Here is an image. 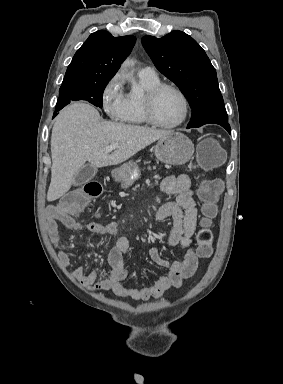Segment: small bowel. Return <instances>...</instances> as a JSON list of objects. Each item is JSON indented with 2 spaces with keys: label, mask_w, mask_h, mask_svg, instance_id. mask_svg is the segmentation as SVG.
Segmentation results:
<instances>
[{
  "label": "small bowel",
  "mask_w": 283,
  "mask_h": 384,
  "mask_svg": "<svg viewBox=\"0 0 283 384\" xmlns=\"http://www.w3.org/2000/svg\"><path fill=\"white\" fill-rule=\"evenodd\" d=\"M160 189L167 194H176L175 201L162 204L155 214L156 221L168 217L173 219V227L166 241L168 246H179L184 252L180 261L169 262L161 257L157 248H151L150 258L154 263L167 269V274L153 283L132 287L124 283L128 276L125 255L129 249L128 237L121 234L116 223L77 222L67 211L58 206H49L46 210V228L53 245L58 249V257L65 267L70 265L69 254L60 249L59 226L68 229L92 233L100 236H116L117 242L109 253L110 274L99 280L97 270L86 274L83 266L73 273L74 278L84 287L93 291L111 292L118 297L146 301L162 296L171 287L179 288L182 282L193 276L198 267V253L192 247L191 237L197 225V208L193 198V182L186 174L169 175L159 182Z\"/></svg>",
  "instance_id": "obj_1"
}]
</instances>
